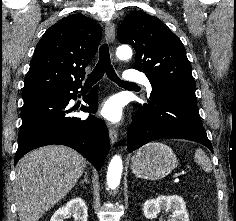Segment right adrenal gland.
<instances>
[{"label": "right adrenal gland", "instance_id": "2a0ac1e0", "mask_svg": "<svg viewBox=\"0 0 236 221\" xmlns=\"http://www.w3.org/2000/svg\"><path fill=\"white\" fill-rule=\"evenodd\" d=\"M84 183H89L87 172H84V179L79 182L80 185H83Z\"/></svg>", "mask_w": 236, "mask_h": 221}]
</instances>
